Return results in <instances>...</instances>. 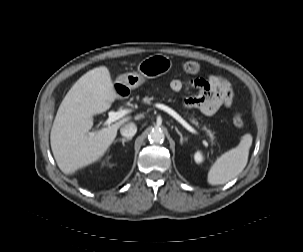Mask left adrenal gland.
I'll return each mask as SVG.
<instances>
[{
  "instance_id": "1",
  "label": "left adrenal gland",
  "mask_w": 303,
  "mask_h": 252,
  "mask_svg": "<svg viewBox=\"0 0 303 252\" xmlns=\"http://www.w3.org/2000/svg\"><path fill=\"white\" fill-rule=\"evenodd\" d=\"M175 130H176L177 134L180 136V143L183 144L184 138H183L182 133L178 130L177 127H175Z\"/></svg>"
}]
</instances>
